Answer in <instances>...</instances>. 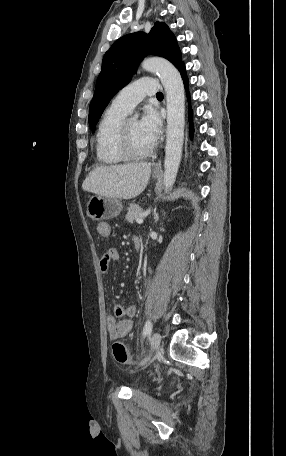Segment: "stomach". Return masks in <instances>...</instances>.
Returning a JSON list of instances; mask_svg holds the SVG:
<instances>
[{"label":"stomach","mask_w":286,"mask_h":456,"mask_svg":"<svg viewBox=\"0 0 286 456\" xmlns=\"http://www.w3.org/2000/svg\"><path fill=\"white\" fill-rule=\"evenodd\" d=\"M157 176V173H153V177ZM122 209L123 205L118 198L96 195L87 203V214L96 221L117 217Z\"/></svg>","instance_id":"obj_1"}]
</instances>
